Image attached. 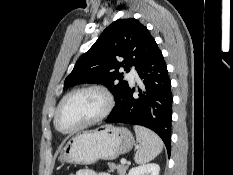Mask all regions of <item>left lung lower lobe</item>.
<instances>
[{"label":"left lung lower lobe","mask_w":233,"mask_h":175,"mask_svg":"<svg viewBox=\"0 0 233 175\" xmlns=\"http://www.w3.org/2000/svg\"><path fill=\"white\" fill-rule=\"evenodd\" d=\"M137 72L145 86L143 90L137 88L139 97L134 98L135 89L129 88L119 107L105 122L141 125L153 130L161 137L170 155L173 97L167 67L157 45Z\"/></svg>","instance_id":"0a47b994"}]
</instances>
